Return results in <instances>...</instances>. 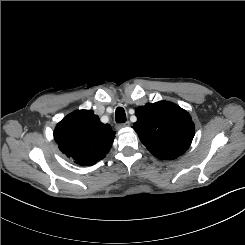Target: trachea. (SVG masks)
Instances as JSON below:
<instances>
[{
    "label": "trachea",
    "mask_w": 245,
    "mask_h": 245,
    "mask_svg": "<svg viewBox=\"0 0 245 245\" xmlns=\"http://www.w3.org/2000/svg\"><path fill=\"white\" fill-rule=\"evenodd\" d=\"M116 122L117 123H124L126 122V113L122 107H118L116 109Z\"/></svg>",
    "instance_id": "3493384b"
}]
</instances>
